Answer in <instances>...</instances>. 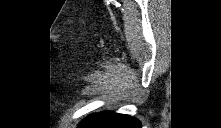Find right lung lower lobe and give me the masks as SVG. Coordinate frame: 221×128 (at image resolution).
Wrapping results in <instances>:
<instances>
[{
    "label": "right lung lower lobe",
    "mask_w": 221,
    "mask_h": 128,
    "mask_svg": "<svg viewBox=\"0 0 221 128\" xmlns=\"http://www.w3.org/2000/svg\"><path fill=\"white\" fill-rule=\"evenodd\" d=\"M141 123L128 115L101 112L87 117L79 128H140Z\"/></svg>",
    "instance_id": "right-lung-lower-lobe-1"
}]
</instances>
